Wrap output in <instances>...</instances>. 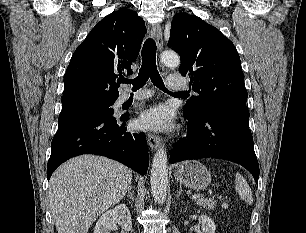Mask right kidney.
Listing matches in <instances>:
<instances>
[{
    "instance_id": "ca27d5eb",
    "label": "right kidney",
    "mask_w": 306,
    "mask_h": 233,
    "mask_svg": "<svg viewBox=\"0 0 306 233\" xmlns=\"http://www.w3.org/2000/svg\"><path fill=\"white\" fill-rule=\"evenodd\" d=\"M117 223L121 226L122 233H127L132 227L131 214L125 204L106 211L97 221L94 233H110Z\"/></svg>"
}]
</instances>
